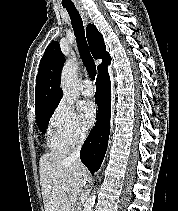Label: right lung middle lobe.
I'll return each mask as SVG.
<instances>
[{"mask_svg":"<svg viewBox=\"0 0 178 211\" xmlns=\"http://www.w3.org/2000/svg\"><path fill=\"white\" fill-rule=\"evenodd\" d=\"M56 107L57 105L48 107L36 114L37 126L42 133H45V129L48 126L52 112Z\"/></svg>","mask_w":178,"mask_h":211,"instance_id":"1","label":"right lung middle lobe"}]
</instances>
